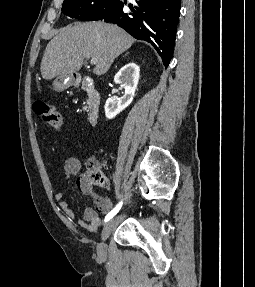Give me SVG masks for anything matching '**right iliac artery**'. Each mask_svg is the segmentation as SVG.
Returning <instances> with one entry per match:
<instances>
[{
  "instance_id": "right-iliac-artery-1",
  "label": "right iliac artery",
  "mask_w": 255,
  "mask_h": 287,
  "mask_svg": "<svg viewBox=\"0 0 255 287\" xmlns=\"http://www.w3.org/2000/svg\"><path fill=\"white\" fill-rule=\"evenodd\" d=\"M122 202H120L113 210H111L107 216L105 217L104 221L107 222L109 221L121 208Z\"/></svg>"
}]
</instances>
